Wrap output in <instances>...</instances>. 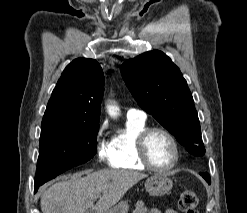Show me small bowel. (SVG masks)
Masks as SVG:
<instances>
[{
  "mask_svg": "<svg viewBox=\"0 0 247 213\" xmlns=\"http://www.w3.org/2000/svg\"><path fill=\"white\" fill-rule=\"evenodd\" d=\"M134 213H162L156 208L149 207L145 202L140 201L137 203ZM164 213H178L174 209H168Z\"/></svg>",
  "mask_w": 247,
  "mask_h": 213,
  "instance_id": "c3829d8e",
  "label": "small bowel"
}]
</instances>
